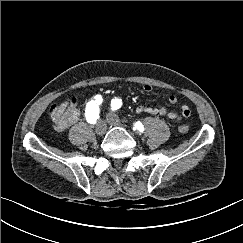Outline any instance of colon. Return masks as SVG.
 Instances as JSON below:
<instances>
[{"instance_id": "obj_1", "label": "colon", "mask_w": 243, "mask_h": 243, "mask_svg": "<svg viewBox=\"0 0 243 243\" xmlns=\"http://www.w3.org/2000/svg\"><path fill=\"white\" fill-rule=\"evenodd\" d=\"M52 118L55 124V127L58 130H63L70 124L74 123L78 118V110L76 108V100L72 98L69 101V104L65 108H59L57 106L52 107ZM179 131L182 133H186L189 130V125L186 123H182L178 127Z\"/></svg>"}]
</instances>
